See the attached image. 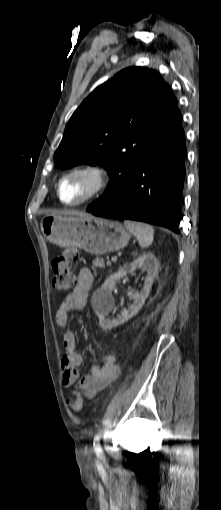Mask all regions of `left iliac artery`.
Segmentation results:
<instances>
[{
    "instance_id": "44dca946",
    "label": "left iliac artery",
    "mask_w": 221,
    "mask_h": 510,
    "mask_svg": "<svg viewBox=\"0 0 221 510\" xmlns=\"http://www.w3.org/2000/svg\"><path fill=\"white\" fill-rule=\"evenodd\" d=\"M93 445H94L95 452L99 453L102 451L100 443H99V435H95Z\"/></svg>"
}]
</instances>
